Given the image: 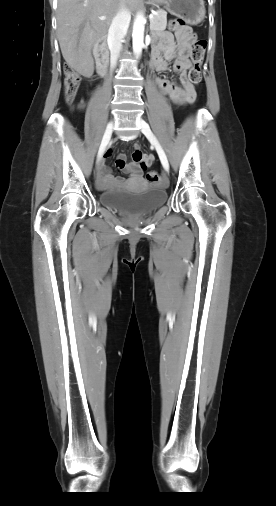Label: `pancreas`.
<instances>
[{
    "label": "pancreas",
    "instance_id": "obj_1",
    "mask_svg": "<svg viewBox=\"0 0 276 506\" xmlns=\"http://www.w3.org/2000/svg\"><path fill=\"white\" fill-rule=\"evenodd\" d=\"M167 25V12L158 10L154 15L153 20L150 21V29L152 32L164 31Z\"/></svg>",
    "mask_w": 276,
    "mask_h": 506
}]
</instances>
